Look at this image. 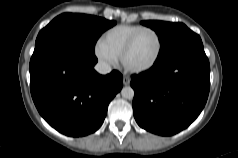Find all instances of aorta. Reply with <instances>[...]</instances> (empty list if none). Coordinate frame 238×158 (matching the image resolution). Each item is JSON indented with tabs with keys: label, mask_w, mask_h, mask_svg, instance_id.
<instances>
[{
	"label": "aorta",
	"mask_w": 238,
	"mask_h": 158,
	"mask_svg": "<svg viewBox=\"0 0 238 158\" xmlns=\"http://www.w3.org/2000/svg\"><path fill=\"white\" fill-rule=\"evenodd\" d=\"M121 95L123 98L132 99L134 97V90L130 86L124 87L121 90Z\"/></svg>",
	"instance_id": "aorta-1"
}]
</instances>
